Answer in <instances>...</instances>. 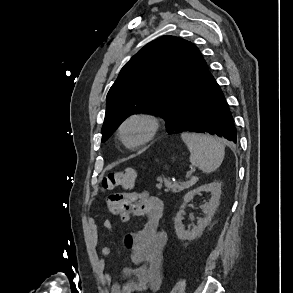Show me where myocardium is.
I'll list each match as a JSON object with an SVG mask.
<instances>
[{
    "label": "myocardium",
    "mask_w": 293,
    "mask_h": 293,
    "mask_svg": "<svg viewBox=\"0 0 293 293\" xmlns=\"http://www.w3.org/2000/svg\"><path fill=\"white\" fill-rule=\"evenodd\" d=\"M133 121H142L147 125V133L146 135L139 141L135 142V143H129L124 136V130L125 127ZM160 128V123L159 120L148 113H134L130 116H128L127 118H125L122 123L119 126V136L121 138V141L123 142V144L130 148V149H135V148H139L147 143H149L150 141H152L154 139V137L157 135L158 131Z\"/></svg>",
    "instance_id": "myocardium-1"
}]
</instances>
